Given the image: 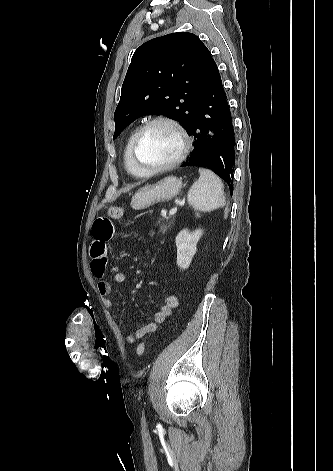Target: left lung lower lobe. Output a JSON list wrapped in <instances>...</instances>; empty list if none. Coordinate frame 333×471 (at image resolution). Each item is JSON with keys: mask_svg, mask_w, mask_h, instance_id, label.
Returning a JSON list of instances; mask_svg holds the SVG:
<instances>
[{"mask_svg": "<svg viewBox=\"0 0 333 471\" xmlns=\"http://www.w3.org/2000/svg\"><path fill=\"white\" fill-rule=\"evenodd\" d=\"M187 131L195 140L194 149L181 167L209 168L221 176L233 192L235 134L217 66L203 90Z\"/></svg>", "mask_w": 333, "mask_h": 471, "instance_id": "obj_1", "label": "left lung lower lobe"}]
</instances>
